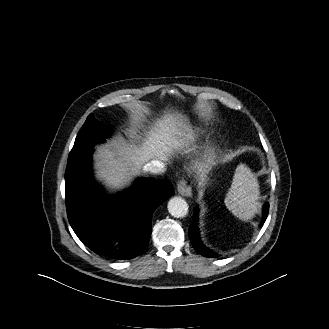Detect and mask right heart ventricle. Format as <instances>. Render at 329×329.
<instances>
[{
  "label": "right heart ventricle",
  "instance_id": "1",
  "mask_svg": "<svg viewBox=\"0 0 329 329\" xmlns=\"http://www.w3.org/2000/svg\"><path fill=\"white\" fill-rule=\"evenodd\" d=\"M199 134L196 130H190L185 134V141L186 142H194L198 139Z\"/></svg>",
  "mask_w": 329,
  "mask_h": 329
}]
</instances>
